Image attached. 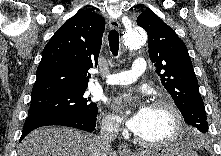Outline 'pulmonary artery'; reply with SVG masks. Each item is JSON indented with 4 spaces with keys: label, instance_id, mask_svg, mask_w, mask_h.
Instances as JSON below:
<instances>
[{
    "label": "pulmonary artery",
    "instance_id": "1",
    "mask_svg": "<svg viewBox=\"0 0 221 156\" xmlns=\"http://www.w3.org/2000/svg\"><path fill=\"white\" fill-rule=\"evenodd\" d=\"M146 71V62L143 58H137L129 71L110 74L106 83L109 85H125L135 82Z\"/></svg>",
    "mask_w": 221,
    "mask_h": 156
}]
</instances>
